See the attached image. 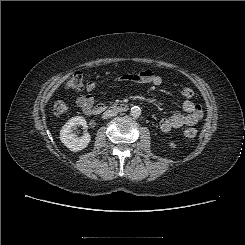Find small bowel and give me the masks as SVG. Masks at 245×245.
I'll list each match as a JSON object with an SVG mask.
<instances>
[{
  "label": "small bowel",
  "instance_id": "small-bowel-1",
  "mask_svg": "<svg viewBox=\"0 0 245 245\" xmlns=\"http://www.w3.org/2000/svg\"><path fill=\"white\" fill-rule=\"evenodd\" d=\"M120 79L140 84H152L154 86H160L163 82L162 77L151 70H144L135 74H125L121 76ZM95 86L94 81L87 82L86 90L89 93L77 98V105L87 114L94 104V97L90 92L94 90ZM182 109L184 114L175 113L160 121L159 126L163 132H169L172 129L180 128L185 125H195L203 116L202 106L189 100V98L183 101Z\"/></svg>",
  "mask_w": 245,
  "mask_h": 245
}]
</instances>
